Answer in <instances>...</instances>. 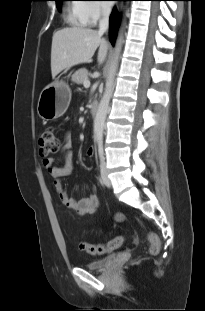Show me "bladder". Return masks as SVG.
<instances>
[{"label": "bladder", "mask_w": 205, "mask_h": 311, "mask_svg": "<svg viewBox=\"0 0 205 311\" xmlns=\"http://www.w3.org/2000/svg\"><path fill=\"white\" fill-rule=\"evenodd\" d=\"M115 255H108L102 259L94 260L84 264V268L92 271L104 270L113 260Z\"/></svg>", "instance_id": "bladder-1"}]
</instances>
